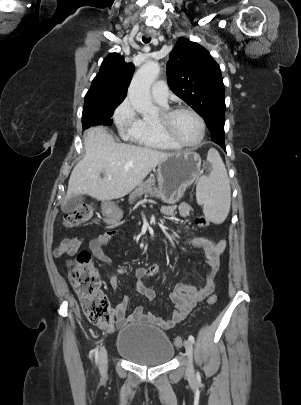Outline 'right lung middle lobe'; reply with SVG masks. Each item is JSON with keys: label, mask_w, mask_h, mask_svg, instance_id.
Instances as JSON below:
<instances>
[{"label": "right lung middle lobe", "mask_w": 301, "mask_h": 405, "mask_svg": "<svg viewBox=\"0 0 301 405\" xmlns=\"http://www.w3.org/2000/svg\"><path fill=\"white\" fill-rule=\"evenodd\" d=\"M120 103H114L102 99H91L84 101V109L82 113V126L87 129L95 125H112L111 119L114 110Z\"/></svg>", "instance_id": "right-lung-middle-lobe-1"}]
</instances>
